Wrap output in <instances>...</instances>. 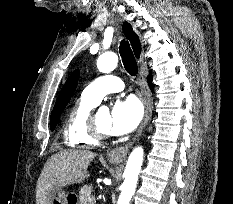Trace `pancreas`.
Wrapping results in <instances>:
<instances>
[{"instance_id": "cf45deb5", "label": "pancreas", "mask_w": 233, "mask_h": 204, "mask_svg": "<svg viewBox=\"0 0 233 204\" xmlns=\"http://www.w3.org/2000/svg\"><path fill=\"white\" fill-rule=\"evenodd\" d=\"M92 186L84 185L79 191V204H95V197L91 194Z\"/></svg>"}]
</instances>
